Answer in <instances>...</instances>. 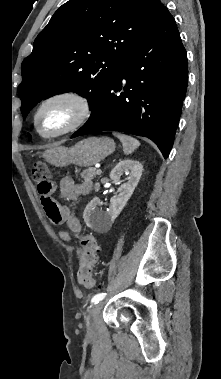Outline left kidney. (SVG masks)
Instances as JSON below:
<instances>
[{
    "mask_svg": "<svg viewBox=\"0 0 221 379\" xmlns=\"http://www.w3.org/2000/svg\"><path fill=\"white\" fill-rule=\"evenodd\" d=\"M142 171L143 166L138 161L130 159L120 161L110 172V178L114 183L119 184V176L125 172L126 174H130L128 181L121 184L118 189V195L111 198L110 205L105 211L98 209V206L102 205V202L97 198L93 199L86 206L83 218L87 226L100 230L112 225L133 194Z\"/></svg>",
    "mask_w": 221,
    "mask_h": 379,
    "instance_id": "left-kidney-1",
    "label": "left kidney"
}]
</instances>
